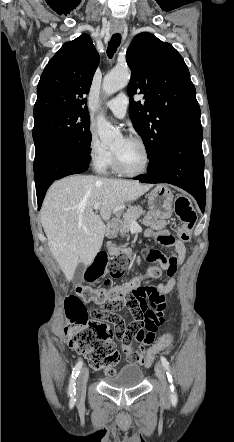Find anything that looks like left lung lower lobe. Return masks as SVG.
I'll return each mask as SVG.
<instances>
[{"label": "left lung lower lobe", "mask_w": 234, "mask_h": 442, "mask_svg": "<svg viewBox=\"0 0 234 442\" xmlns=\"http://www.w3.org/2000/svg\"><path fill=\"white\" fill-rule=\"evenodd\" d=\"M135 179L145 183H170L183 188L205 208L204 157L201 123L176 132L165 144L164 150L148 174Z\"/></svg>", "instance_id": "0a47b994"}]
</instances>
